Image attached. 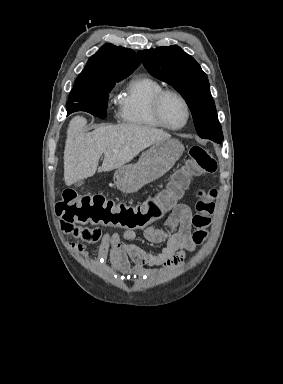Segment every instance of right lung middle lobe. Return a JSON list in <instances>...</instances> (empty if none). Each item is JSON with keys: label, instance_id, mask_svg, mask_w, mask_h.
<instances>
[{"label": "right lung middle lobe", "instance_id": "obj_1", "mask_svg": "<svg viewBox=\"0 0 283 384\" xmlns=\"http://www.w3.org/2000/svg\"><path fill=\"white\" fill-rule=\"evenodd\" d=\"M116 83H107L87 88L72 89L66 104L67 115L75 111H86L105 118L107 115L108 93Z\"/></svg>", "mask_w": 283, "mask_h": 384}]
</instances>
